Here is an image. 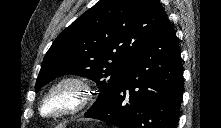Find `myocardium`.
<instances>
[{"mask_svg":"<svg viewBox=\"0 0 221 128\" xmlns=\"http://www.w3.org/2000/svg\"><path fill=\"white\" fill-rule=\"evenodd\" d=\"M94 91L84 77L70 75L54 82L43 96L38 112L45 119L74 114L93 98Z\"/></svg>","mask_w":221,"mask_h":128,"instance_id":"1","label":"myocardium"}]
</instances>
